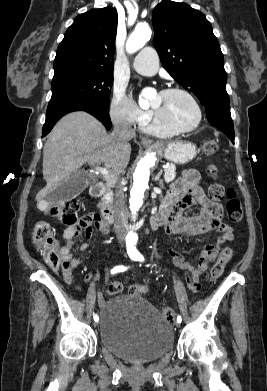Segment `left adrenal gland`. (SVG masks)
Segmentation results:
<instances>
[{
  "instance_id": "a2214340",
  "label": "left adrenal gland",
  "mask_w": 267,
  "mask_h": 391,
  "mask_svg": "<svg viewBox=\"0 0 267 391\" xmlns=\"http://www.w3.org/2000/svg\"><path fill=\"white\" fill-rule=\"evenodd\" d=\"M161 174H162V170H161V171L157 174V176L155 177V181H156V182H159V185H160V186H163V181L160 180Z\"/></svg>"
}]
</instances>
